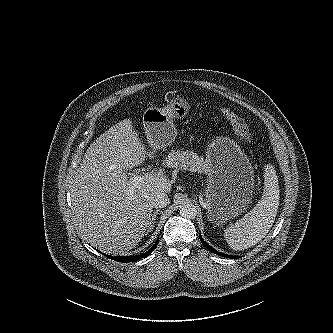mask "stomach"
<instances>
[{"mask_svg":"<svg viewBox=\"0 0 333 333\" xmlns=\"http://www.w3.org/2000/svg\"><path fill=\"white\" fill-rule=\"evenodd\" d=\"M189 110L190 104L180 96L164 108L146 109L142 121L149 145L153 149L171 145L177 135L173 118H184ZM206 162V209L211 223L223 225L258 202L262 195L261 173L234 140L214 138L207 147Z\"/></svg>","mask_w":333,"mask_h":333,"instance_id":"1","label":"stomach"}]
</instances>
